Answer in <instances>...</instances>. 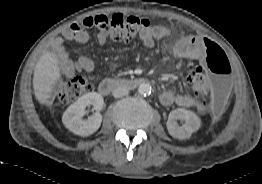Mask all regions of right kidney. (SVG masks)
Instances as JSON below:
<instances>
[{
    "instance_id": "ca27d5eb",
    "label": "right kidney",
    "mask_w": 262,
    "mask_h": 184,
    "mask_svg": "<svg viewBox=\"0 0 262 184\" xmlns=\"http://www.w3.org/2000/svg\"><path fill=\"white\" fill-rule=\"evenodd\" d=\"M93 105L96 111L92 116L83 119L86 107ZM103 97L91 92L81 96L76 102L71 104L63 113L62 122L67 129L79 136H89L96 132L101 125L102 115L100 110L103 108Z\"/></svg>"
}]
</instances>
